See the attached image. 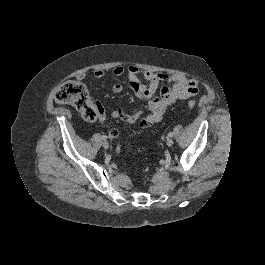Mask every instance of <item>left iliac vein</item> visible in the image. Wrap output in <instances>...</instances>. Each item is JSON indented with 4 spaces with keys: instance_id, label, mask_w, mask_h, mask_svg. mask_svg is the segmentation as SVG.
Listing matches in <instances>:
<instances>
[{
    "instance_id": "4c4485c4",
    "label": "left iliac vein",
    "mask_w": 265,
    "mask_h": 265,
    "mask_svg": "<svg viewBox=\"0 0 265 265\" xmlns=\"http://www.w3.org/2000/svg\"><path fill=\"white\" fill-rule=\"evenodd\" d=\"M167 146H172L174 144V141L171 138H168L166 141Z\"/></svg>"
}]
</instances>
